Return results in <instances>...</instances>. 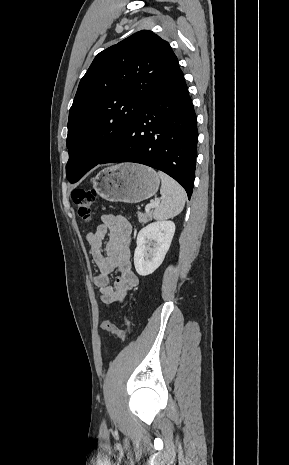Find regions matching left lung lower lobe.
I'll return each instance as SVG.
<instances>
[{"label":"left lung lower lobe","instance_id":"obj_1","mask_svg":"<svg viewBox=\"0 0 289 465\" xmlns=\"http://www.w3.org/2000/svg\"><path fill=\"white\" fill-rule=\"evenodd\" d=\"M197 138L196 114L178 68L148 93L117 145L98 164L135 162L161 170L179 182L190 199Z\"/></svg>","mask_w":289,"mask_h":465}]
</instances>
